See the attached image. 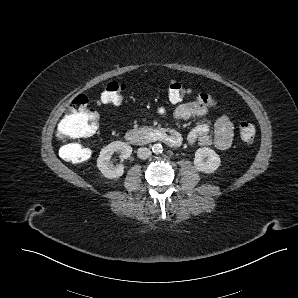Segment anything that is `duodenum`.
<instances>
[{
	"label": "duodenum",
	"mask_w": 298,
	"mask_h": 298,
	"mask_svg": "<svg viewBox=\"0 0 298 298\" xmlns=\"http://www.w3.org/2000/svg\"><path fill=\"white\" fill-rule=\"evenodd\" d=\"M125 140L133 145L162 142L170 147H179L182 141L179 133L168 128L131 129L125 133Z\"/></svg>",
	"instance_id": "1"
}]
</instances>
